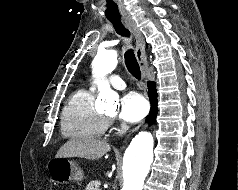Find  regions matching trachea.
<instances>
[{
  "mask_svg": "<svg viewBox=\"0 0 238 190\" xmlns=\"http://www.w3.org/2000/svg\"><path fill=\"white\" fill-rule=\"evenodd\" d=\"M109 21L113 24L117 34L123 37H130V32L128 29L123 25L120 18H113L109 19ZM125 64L128 71L138 80L141 79V71L135 54L132 49H128L125 54Z\"/></svg>",
  "mask_w": 238,
  "mask_h": 190,
  "instance_id": "1",
  "label": "trachea"
}]
</instances>
